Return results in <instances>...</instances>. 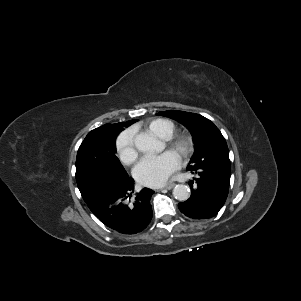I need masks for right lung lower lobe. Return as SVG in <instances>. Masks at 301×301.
Here are the masks:
<instances>
[{
	"label": "right lung lower lobe",
	"mask_w": 301,
	"mask_h": 301,
	"mask_svg": "<svg viewBox=\"0 0 301 301\" xmlns=\"http://www.w3.org/2000/svg\"><path fill=\"white\" fill-rule=\"evenodd\" d=\"M131 177L104 178L94 187L87 205L107 227L123 234H136L147 227L152 218L150 199L153 190L144 188L132 198Z\"/></svg>",
	"instance_id": "right-lung-lower-lobe-1"
}]
</instances>
